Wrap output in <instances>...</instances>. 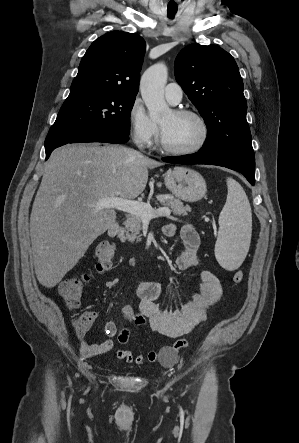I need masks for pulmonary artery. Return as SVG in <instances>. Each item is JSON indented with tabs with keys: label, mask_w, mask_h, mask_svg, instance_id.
<instances>
[{
	"label": "pulmonary artery",
	"mask_w": 299,
	"mask_h": 443,
	"mask_svg": "<svg viewBox=\"0 0 299 443\" xmlns=\"http://www.w3.org/2000/svg\"><path fill=\"white\" fill-rule=\"evenodd\" d=\"M182 88L177 83H169L165 87V98L173 105L178 104L182 99Z\"/></svg>",
	"instance_id": "obj_1"
}]
</instances>
